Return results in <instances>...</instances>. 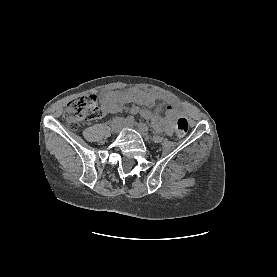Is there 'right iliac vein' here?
<instances>
[{"label": "right iliac vein", "mask_w": 277, "mask_h": 277, "mask_svg": "<svg viewBox=\"0 0 277 277\" xmlns=\"http://www.w3.org/2000/svg\"><path fill=\"white\" fill-rule=\"evenodd\" d=\"M113 130L115 131V132H118L119 130H120V128H121V122L120 121H115L114 123H113Z\"/></svg>", "instance_id": "1"}]
</instances>
